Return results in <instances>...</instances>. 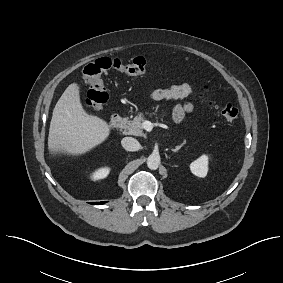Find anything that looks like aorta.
Wrapping results in <instances>:
<instances>
[{
  "label": "aorta",
  "instance_id": "aorta-1",
  "mask_svg": "<svg viewBox=\"0 0 283 283\" xmlns=\"http://www.w3.org/2000/svg\"><path fill=\"white\" fill-rule=\"evenodd\" d=\"M160 155L158 153H152L147 159V166L151 170H156L160 165Z\"/></svg>",
  "mask_w": 283,
  "mask_h": 283
}]
</instances>
